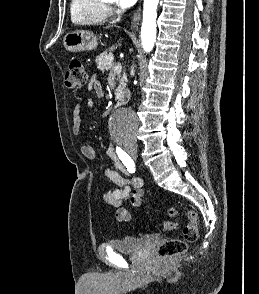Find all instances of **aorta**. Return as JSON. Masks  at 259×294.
<instances>
[{"label": "aorta", "instance_id": "obj_1", "mask_svg": "<svg viewBox=\"0 0 259 294\" xmlns=\"http://www.w3.org/2000/svg\"><path fill=\"white\" fill-rule=\"evenodd\" d=\"M159 0H144L141 41L145 52L149 53L156 40V18ZM138 126L137 116L128 110H118L112 119L111 132L117 138L133 137Z\"/></svg>", "mask_w": 259, "mask_h": 294}]
</instances>
